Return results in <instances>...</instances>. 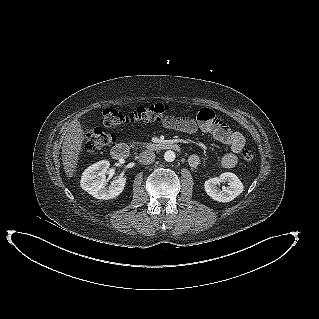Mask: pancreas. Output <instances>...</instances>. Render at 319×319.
Here are the masks:
<instances>
[{"mask_svg":"<svg viewBox=\"0 0 319 319\" xmlns=\"http://www.w3.org/2000/svg\"><path fill=\"white\" fill-rule=\"evenodd\" d=\"M142 143H140V142H132L131 144H130V146L131 147H134V146H138V145H141Z\"/></svg>","mask_w":319,"mask_h":319,"instance_id":"pancreas-1","label":"pancreas"}]
</instances>
